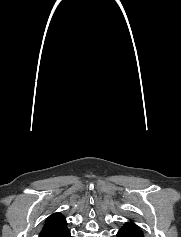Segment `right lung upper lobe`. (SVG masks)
Returning <instances> with one entry per match:
<instances>
[{"instance_id":"right-lung-upper-lobe-1","label":"right lung upper lobe","mask_w":181,"mask_h":237,"mask_svg":"<svg viewBox=\"0 0 181 237\" xmlns=\"http://www.w3.org/2000/svg\"><path fill=\"white\" fill-rule=\"evenodd\" d=\"M68 232L64 216L56 212L46 219L39 237H64Z\"/></svg>"}]
</instances>
